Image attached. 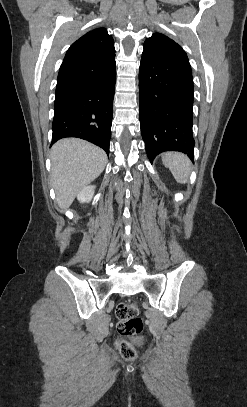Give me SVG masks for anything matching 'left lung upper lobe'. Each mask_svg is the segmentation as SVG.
Segmentation results:
<instances>
[{
	"label": "left lung upper lobe",
	"instance_id": "left-lung-upper-lobe-1",
	"mask_svg": "<svg viewBox=\"0 0 247 407\" xmlns=\"http://www.w3.org/2000/svg\"><path fill=\"white\" fill-rule=\"evenodd\" d=\"M143 53L161 62L191 69L187 54L181 46L161 33H154L146 39Z\"/></svg>",
	"mask_w": 247,
	"mask_h": 407
}]
</instances>
